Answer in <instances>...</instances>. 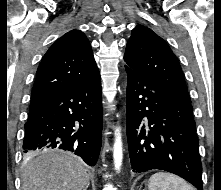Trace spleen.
I'll return each instance as SVG.
<instances>
[{
  "mask_svg": "<svg viewBox=\"0 0 221 190\" xmlns=\"http://www.w3.org/2000/svg\"><path fill=\"white\" fill-rule=\"evenodd\" d=\"M149 190H196L180 177L164 172L153 174L148 182Z\"/></svg>",
  "mask_w": 221,
  "mask_h": 190,
  "instance_id": "spleen-1",
  "label": "spleen"
}]
</instances>
